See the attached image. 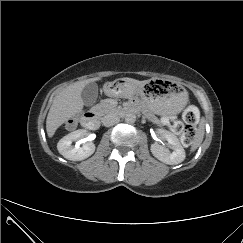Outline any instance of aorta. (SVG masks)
Listing matches in <instances>:
<instances>
[{
    "mask_svg": "<svg viewBox=\"0 0 243 243\" xmlns=\"http://www.w3.org/2000/svg\"><path fill=\"white\" fill-rule=\"evenodd\" d=\"M125 121H126V123H128V124H133V123H135V121H136V116H135V114H133V113H128V114H126V116H125Z\"/></svg>",
    "mask_w": 243,
    "mask_h": 243,
    "instance_id": "762f6f07",
    "label": "aorta"
}]
</instances>
